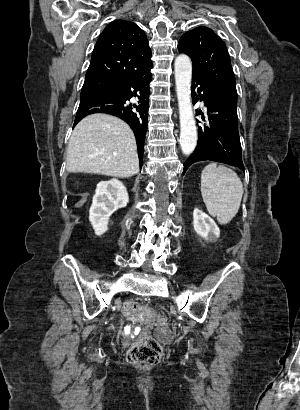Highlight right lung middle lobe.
<instances>
[{
    "mask_svg": "<svg viewBox=\"0 0 300 410\" xmlns=\"http://www.w3.org/2000/svg\"><path fill=\"white\" fill-rule=\"evenodd\" d=\"M110 87V85L99 83V82H84L81 90V95L91 93L100 89H105Z\"/></svg>",
    "mask_w": 300,
    "mask_h": 410,
    "instance_id": "1",
    "label": "right lung middle lobe"
}]
</instances>
